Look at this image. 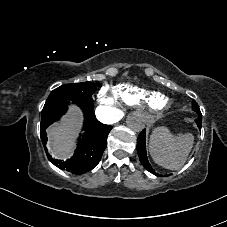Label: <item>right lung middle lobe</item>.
Listing matches in <instances>:
<instances>
[{
	"label": "right lung middle lobe",
	"mask_w": 227,
	"mask_h": 227,
	"mask_svg": "<svg viewBox=\"0 0 227 227\" xmlns=\"http://www.w3.org/2000/svg\"><path fill=\"white\" fill-rule=\"evenodd\" d=\"M95 91L96 86L91 82L62 85L50 93L43 107L42 114L45 113L50 106L64 100L93 102L92 94Z\"/></svg>",
	"instance_id": "dd1d6c3e"
}]
</instances>
